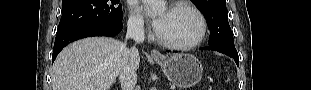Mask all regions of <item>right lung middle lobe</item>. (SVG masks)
<instances>
[{
    "mask_svg": "<svg viewBox=\"0 0 311 90\" xmlns=\"http://www.w3.org/2000/svg\"><path fill=\"white\" fill-rule=\"evenodd\" d=\"M118 3L119 0H63L57 32L88 23H121L122 6Z\"/></svg>",
    "mask_w": 311,
    "mask_h": 90,
    "instance_id": "obj_1",
    "label": "right lung middle lobe"
}]
</instances>
